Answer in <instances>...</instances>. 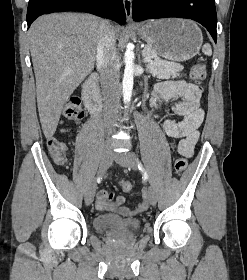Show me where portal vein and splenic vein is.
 Segmentation results:
<instances>
[{
  "instance_id": "obj_1",
  "label": "portal vein and splenic vein",
  "mask_w": 247,
  "mask_h": 280,
  "mask_svg": "<svg viewBox=\"0 0 247 280\" xmlns=\"http://www.w3.org/2000/svg\"><path fill=\"white\" fill-rule=\"evenodd\" d=\"M144 55V61L145 62H149V61H151V59H150V57L149 56H145V54H143Z\"/></svg>"
}]
</instances>
